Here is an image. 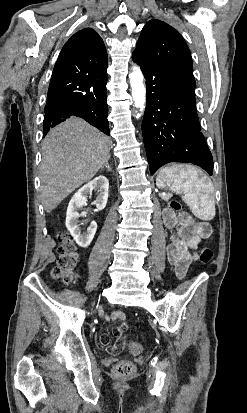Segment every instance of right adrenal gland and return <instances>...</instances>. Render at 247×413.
<instances>
[{
  "instance_id": "1",
  "label": "right adrenal gland",
  "mask_w": 247,
  "mask_h": 413,
  "mask_svg": "<svg viewBox=\"0 0 247 413\" xmlns=\"http://www.w3.org/2000/svg\"><path fill=\"white\" fill-rule=\"evenodd\" d=\"M108 160H109V158H107V160H105L104 164H102V166H100L101 170H103L104 166H106L107 170H112L111 166H109Z\"/></svg>"
}]
</instances>
